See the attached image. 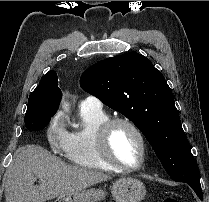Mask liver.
Segmentation results:
<instances>
[{
	"instance_id": "obj_1",
	"label": "liver",
	"mask_w": 209,
	"mask_h": 202,
	"mask_svg": "<svg viewBox=\"0 0 209 202\" xmlns=\"http://www.w3.org/2000/svg\"><path fill=\"white\" fill-rule=\"evenodd\" d=\"M39 179V185H34ZM102 172L71 166L40 146L19 147L5 174L6 202H45L109 180Z\"/></svg>"
}]
</instances>
